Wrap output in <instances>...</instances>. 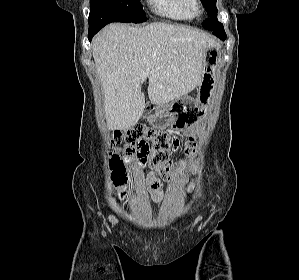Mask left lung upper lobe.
I'll use <instances>...</instances> for the list:
<instances>
[{
    "instance_id": "left-lung-upper-lobe-1",
    "label": "left lung upper lobe",
    "mask_w": 299,
    "mask_h": 280,
    "mask_svg": "<svg viewBox=\"0 0 299 280\" xmlns=\"http://www.w3.org/2000/svg\"><path fill=\"white\" fill-rule=\"evenodd\" d=\"M210 19L203 21L202 26L207 30L225 32L223 25L217 20L216 0H201Z\"/></svg>"
}]
</instances>
